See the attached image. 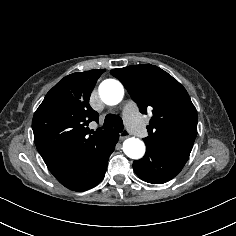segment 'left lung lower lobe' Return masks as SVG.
I'll return each instance as SVG.
<instances>
[{"label":"left lung lower lobe","instance_id":"obj_1","mask_svg":"<svg viewBox=\"0 0 236 236\" xmlns=\"http://www.w3.org/2000/svg\"><path fill=\"white\" fill-rule=\"evenodd\" d=\"M143 158L133 162L137 176L148 183L162 184L173 179L184 167L187 156L166 147L146 145Z\"/></svg>","mask_w":236,"mask_h":236}]
</instances>
